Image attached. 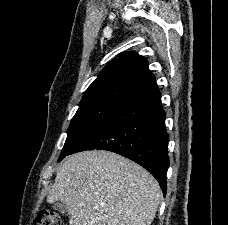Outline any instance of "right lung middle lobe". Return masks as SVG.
Listing matches in <instances>:
<instances>
[{"instance_id": "obj_1", "label": "right lung middle lobe", "mask_w": 228, "mask_h": 225, "mask_svg": "<svg viewBox=\"0 0 228 225\" xmlns=\"http://www.w3.org/2000/svg\"><path fill=\"white\" fill-rule=\"evenodd\" d=\"M140 91L141 89L124 83H111L88 88L70 123L68 136L58 161L67 156L89 131Z\"/></svg>"}]
</instances>
